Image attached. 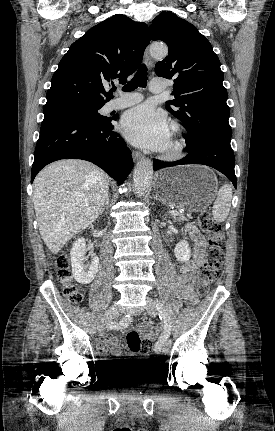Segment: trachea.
Returning a JSON list of instances; mask_svg holds the SVG:
<instances>
[{"label": "trachea", "mask_w": 275, "mask_h": 431, "mask_svg": "<svg viewBox=\"0 0 275 431\" xmlns=\"http://www.w3.org/2000/svg\"><path fill=\"white\" fill-rule=\"evenodd\" d=\"M147 67L142 64L136 72L134 78L122 87L124 92H130L138 88L139 86L145 88L147 86ZM112 91H116V88H112Z\"/></svg>", "instance_id": "obj_1"}]
</instances>
